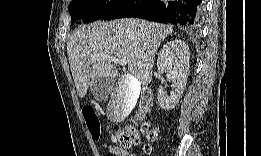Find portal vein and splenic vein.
Masks as SVG:
<instances>
[{
	"label": "portal vein and splenic vein",
	"mask_w": 261,
	"mask_h": 156,
	"mask_svg": "<svg viewBox=\"0 0 261 156\" xmlns=\"http://www.w3.org/2000/svg\"><path fill=\"white\" fill-rule=\"evenodd\" d=\"M104 58H107L106 55L103 56ZM109 58V57H108ZM110 59V58H109ZM112 62L116 63V64H119V65H122V66H125L127 65V61L125 59H117V58H112L111 59Z\"/></svg>",
	"instance_id": "portal-vein-and-splenic-vein-1"
}]
</instances>
